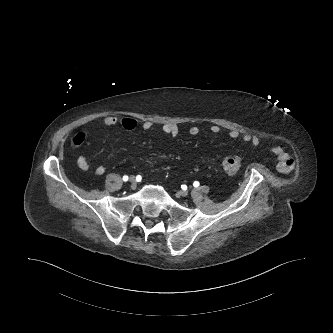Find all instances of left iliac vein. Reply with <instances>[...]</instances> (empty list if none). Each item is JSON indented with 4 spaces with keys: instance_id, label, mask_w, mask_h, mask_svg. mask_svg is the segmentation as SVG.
I'll return each mask as SVG.
<instances>
[{
    "instance_id": "1",
    "label": "left iliac vein",
    "mask_w": 333,
    "mask_h": 333,
    "mask_svg": "<svg viewBox=\"0 0 333 333\" xmlns=\"http://www.w3.org/2000/svg\"><path fill=\"white\" fill-rule=\"evenodd\" d=\"M179 195H181V196H187L188 192L186 190H182V191L179 192Z\"/></svg>"
}]
</instances>
